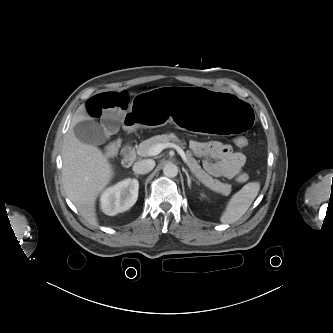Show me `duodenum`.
Segmentation results:
<instances>
[{"mask_svg":"<svg viewBox=\"0 0 333 333\" xmlns=\"http://www.w3.org/2000/svg\"><path fill=\"white\" fill-rule=\"evenodd\" d=\"M136 159V154L132 144L128 143L123 147L122 164L124 167H130Z\"/></svg>","mask_w":333,"mask_h":333,"instance_id":"1","label":"duodenum"}]
</instances>
